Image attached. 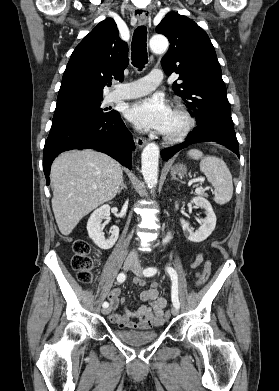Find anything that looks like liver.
I'll return each instance as SVG.
<instances>
[{
	"label": "liver",
	"instance_id": "obj_1",
	"mask_svg": "<svg viewBox=\"0 0 279 391\" xmlns=\"http://www.w3.org/2000/svg\"><path fill=\"white\" fill-rule=\"evenodd\" d=\"M50 176L52 209L60 232L67 236L84 216L116 196L123 170L110 156L86 149L59 155Z\"/></svg>",
	"mask_w": 279,
	"mask_h": 391
}]
</instances>
